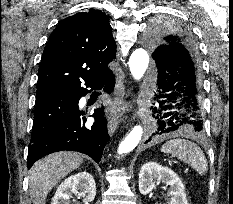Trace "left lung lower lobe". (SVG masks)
I'll return each mask as SVG.
<instances>
[{"label":"left lung lower lobe","mask_w":233,"mask_h":204,"mask_svg":"<svg viewBox=\"0 0 233 204\" xmlns=\"http://www.w3.org/2000/svg\"><path fill=\"white\" fill-rule=\"evenodd\" d=\"M156 58L154 99L158 105L151 107L152 136L202 131L201 75L193 59L185 52L168 48L161 50Z\"/></svg>","instance_id":"1"}]
</instances>
